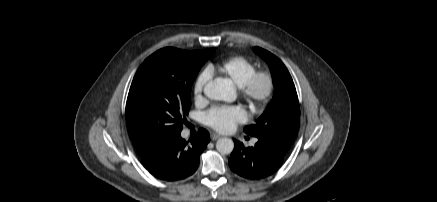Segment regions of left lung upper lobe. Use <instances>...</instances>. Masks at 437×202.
<instances>
[{
	"instance_id": "1",
	"label": "left lung upper lobe",
	"mask_w": 437,
	"mask_h": 202,
	"mask_svg": "<svg viewBox=\"0 0 437 202\" xmlns=\"http://www.w3.org/2000/svg\"><path fill=\"white\" fill-rule=\"evenodd\" d=\"M254 51L268 63L276 91L264 113L255 124L246 126L244 132L286 154L296 136L300 117L295 85L287 68L275 55L259 47Z\"/></svg>"
}]
</instances>
